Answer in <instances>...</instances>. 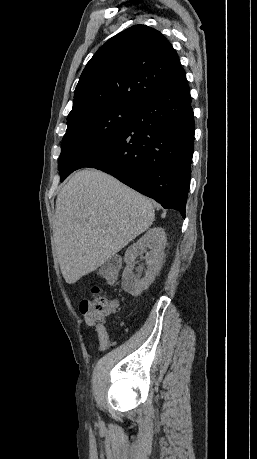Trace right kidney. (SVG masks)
Masks as SVG:
<instances>
[{
  "label": "right kidney",
  "instance_id": "1",
  "mask_svg": "<svg viewBox=\"0 0 257 459\" xmlns=\"http://www.w3.org/2000/svg\"><path fill=\"white\" fill-rule=\"evenodd\" d=\"M166 242L164 230L160 227H154L148 230L136 243L128 247L124 256L126 267L121 283L125 292L132 296H138L150 286L161 269ZM147 248L151 251L147 252ZM142 252L146 253L145 261L148 268L144 277H141V273L144 271L143 266L136 268L137 274L133 273L136 258Z\"/></svg>",
  "mask_w": 257,
  "mask_h": 459
}]
</instances>
